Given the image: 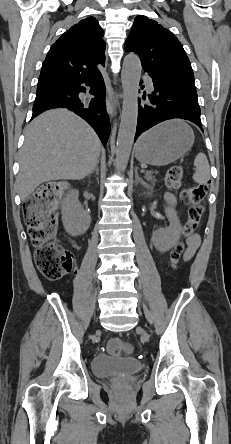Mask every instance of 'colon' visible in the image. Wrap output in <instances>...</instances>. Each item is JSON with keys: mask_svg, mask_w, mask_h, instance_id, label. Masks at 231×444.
<instances>
[{"mask_svg": "<svg viewBox=\"0 0 231 444\" xmlns=\"http://www.w3.org/2000/svg\"><path fill=\"white\" fill-rule=\"evenodd\" d=\"M184 168L174 165L166 173L165 183L168 188L180 191L181 201L189 206L188 219L183 229V235L190 238L198 227L203 213V200L207 194L206 184H197L181 190ZM64 190V184L49 182L41 186L25 204V222L33 245L36 247L35 261L42 275L55 281L71 272L74 259L69 250L54 240L58 219L56 208ZM184 243L179 242L171 250V261L178 266ZM128 345L119 338H113L108 343V350L114 355H121Z\"/></svg>", "mask_w": 231, "mask_h": 444, "instance_id": "colon-1", "label": "colon"}]
</instances>
